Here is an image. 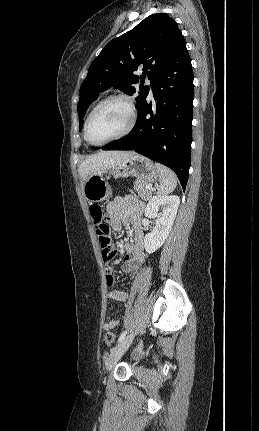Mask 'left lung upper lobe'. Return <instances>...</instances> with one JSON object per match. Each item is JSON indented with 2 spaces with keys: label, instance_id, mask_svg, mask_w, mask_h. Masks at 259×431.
<instances>
[{
  "label": "left lung upper lobe",
  "instance_id": "5c2ea615",
  "mask_svg": "<svg viewBox=\"0 0 259 431\" xmlns=\"http://www.w3.org/2000/svg\"><path fill=\"white\" fill-rule=\"evenodd\" d=\"M183 40L175 20L164 13L148 16L132 30L111 40L91 63L81 85L79 129L83 126V117L89 104L100 92L115 87L133 95L136 89L131 84L138 83L139 79L144 81L147 75L153 83L163 64ZM137 69L143 71L140 77L134 74ZM140 89L136 97L137 109L149 92L148 86H140Z\"/></svg>",
  "mask_w": 259,
  "mask_h": 431
}]
</instances>
